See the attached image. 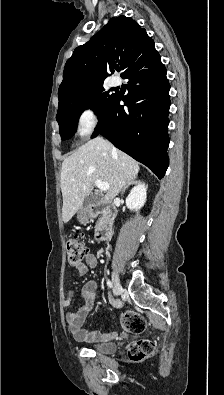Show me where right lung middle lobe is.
I'll return each instance as SVG.
<instances>
[{
	"mask_svg": "<svg viewBox=\"0 0 224 395\" xmlns=\"http://www.w3.org/2000/svg\"><path fill=\"white\" fill-rule=\"evenodd\" d=\"M115 94H109L103 84L77 94L58 107L56 119L62 140L69 139L76 132L81 113L91 108L100 118L112 103Z\"/></svg>",
	"mask_w": 224,
	"mask_h": 395,
	"instance_id": "right-lung-middle-lobe-1",
	"label": "right lung middle lobe"
}]
</instances>
